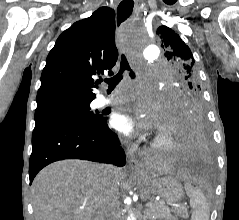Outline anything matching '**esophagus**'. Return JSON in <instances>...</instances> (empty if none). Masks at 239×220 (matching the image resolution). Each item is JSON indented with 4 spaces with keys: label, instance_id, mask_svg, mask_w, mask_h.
Segmentation results:
<instances>
[{
    "label": "esophagus",
    "instance_id": "obj_1",
    "mask_svg": "<svg viewBox=\"0 0 239 220\" xmlns=\"http://www.w3.org/2000/svg\"><path fill=\"white\" fill-rule=\"evenodd\" d=\"M122 2L119 4L117 8V23L120 25L123 21H125L130 15L137 12V3L136 0H121ZM128 164L129 167L134 170H140L141 165L137 158L129 153L128 154Z\"/></svg>",
    "mask_w": 239,
    "mask_h": 220
}]
</instances>
